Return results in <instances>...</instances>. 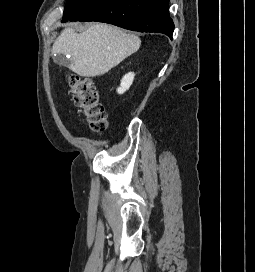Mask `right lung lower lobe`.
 <instances>
[{
    "instance_id": "right-lung-lower-lobe-1",
    "label": "right lung lower lobe",
    "mask_w": 255,
    "mask_h": 272,
    "mask_svg": "<svg viewBox=\"0 0 255 272\" xmlns=\"http://www.w3.org/2000/svg\"><path fill=\"white\" fill-rule=\"evenodd\" d=\"M169 0H90L67 21H96L139 32H158L172 38L174 23Z\"/></svg>"
}]
</instances>
